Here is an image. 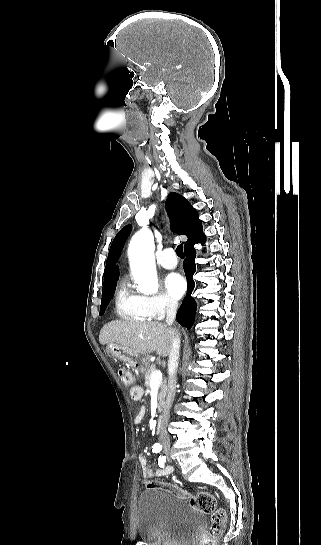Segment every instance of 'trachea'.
Segmentation results:
<instances>
[{"label":"trachea","mask_w":321,"mask_h":545,"mask_svg":"<svg viewBox=\"0 0 321 545\" xmlns=\"http://www.w3.org/2000/svg\"><path fill=\"white\" fill-rule=\"evenodd\" d=\"M176 254H177L178 257H180V258H184L183 243H181L180 245H178V247L176 248Z\"/></svg>","instance_id":"trachea-1"}]
</instances>
